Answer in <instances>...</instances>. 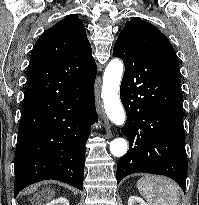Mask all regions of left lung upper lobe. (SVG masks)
I'll return each instance as SVG.
<instances>
[{"instance_id":"5c2ea615","label":"left lung upper lobe","mask_w":199,"mask_h":205,"mask_svg":"<svg viewBox=\"0 0 199 205\" xmlns=\"http://www.w3.org/2000/svg\"><path fill=\"white\" fill-rule=\"evenodd\" d=\"M118 38L126 39L135 47L154 57L173 81L181 85V74L175 50L167 37L154 25L140 18H134L125 25Z\"/></svg>"}]
</instances>
